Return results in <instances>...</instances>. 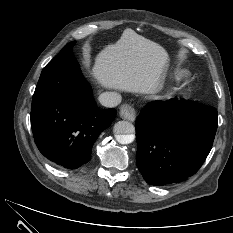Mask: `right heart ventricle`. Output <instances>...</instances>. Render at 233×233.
<instances>
[{
    "mask_svg": "<svg viewBox=\"0 0 233 233\" xmlns=\"http://www.w3.org/2000/svg\"><path fill=\"white\" fill-rule=\"evenodd\" d=\"M187 73L185 71H179L177 73H175V78L180 79L182 77H184Z\"/></svg>",
    "mask_w": 233,
    "mask_h": 233,
    "instance_id": "obj_1",
    "label": "right heart ventricle"
}]
</instances>
